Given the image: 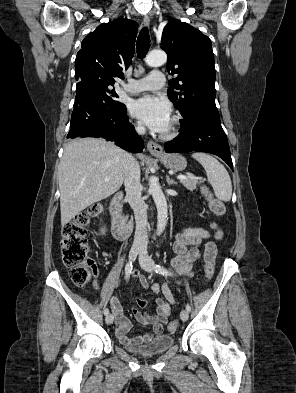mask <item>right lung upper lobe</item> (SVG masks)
I'll return each instance as SVG.
<instances>
[{
	"label": "right lung upper lobe",
	"mask_w": 296,
	"mask_h": 393,
	"mask_svg": "<svg viewBox=\"0 0 296 393\" xmlns=\"http://www.w3.org/2000/svg\"><path fill=\"white\" fill-rule=\"evenodd\" d=\"M138 24L118 18L99 25L82 41L75 59L76 80L95 77L114 85L115 77L123 78L135 50Z\"/></svg>",
	"instance_id": "1"
}]
</instances>
